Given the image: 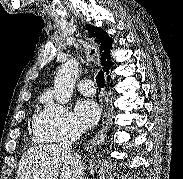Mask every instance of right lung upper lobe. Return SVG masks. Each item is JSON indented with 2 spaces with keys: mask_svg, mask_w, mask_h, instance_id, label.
Segmentation results:
<instances>
[{
  "mask_svg": "<svg viewBox=\"0 0 183 179\" xmlns=\"http://www.w3.org/2000/svg\"><path fill=\"white\" fill-rule=\"evenodd\" d=\"M87 29L90 32L91 37L94 36L96 39L95 41L100 43V62L103 66V70L109 73L110 70H112L110 49H112L113 40L101 28L87 25Z\"/></svg>",
  "mask_w": 183,
  "mask_h": 179,
  "instance_id": "right-lung-upper-lobe-1",
  "label": "right lung upper lobe"
}]
</instances>
